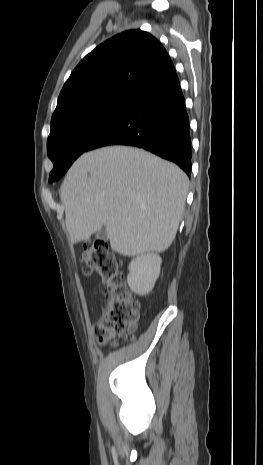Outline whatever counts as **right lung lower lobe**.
<instances>
[{
	"mask_svg": "<svg viewBox=\"0 0 263 465\" xmlns=\"http://www.w3.org/2000/svg\"><path fill=\"white\" fill-rule=\"evenodd\" d=\"M115 144L148 150L176 163L190 176L189 118L176 73L138 93L88 151Z\"/></svg>",
	"mask_w": 263,
	"mask_h": 465,
	"instance_id": "1",
	"label": "right lung lower lobe"
}]
</instances>
